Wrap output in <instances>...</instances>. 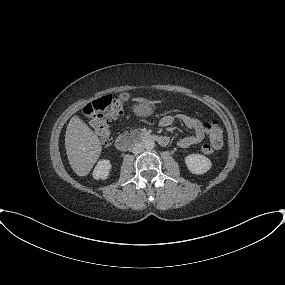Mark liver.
Masks as SVG:
<instances>
[{
    "instance_id": "liver-1",
    "label": "liver",
    "mask_w": 285,
    "mask_h": 285,
    "mask_svg": "<svg viewBox=\"0 0 285 285\" xmlns=\"http://www.w3.org/2000/svg\"><path fill=\"white\" fill-rule=\"evenodd\" d=\"M65 149L71 168L78 176H86L101 154L98 136L78 116L69 121Z\"/></svg>"
}]
</instances>
